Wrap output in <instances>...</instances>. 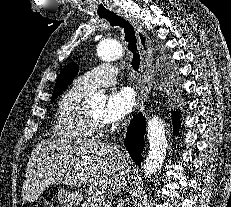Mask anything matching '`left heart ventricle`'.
<instances>
[{
    "instance_id": "1",
    "label": "left heart ventricle",
    "mask_w": 231,
    "mask_h": 207,
    "mask_svg": "<svg viewBox=\"0 0 231 207\" xmlns=\"http://www.w3.org/2000/svg\"><path fill=\"white\" fill-rule=\"evenodd\" d=\"M104 105H100L98 107H95L89 111L90 116H92L95 119L102 120L103 119V113H104Z\"/></svg>"
}]
</instances>
